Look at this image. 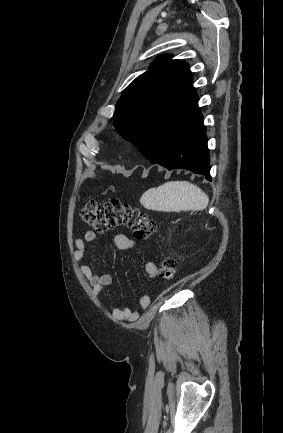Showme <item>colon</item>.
I'll return each instance as SVG.
<instances>
[{
  "mask_svg": "<svg viewBox=\"0 0 283 433\" xmlns=\"http://www.w3.org/2000/svg\"><path fill=\"white\" fill-rule=\"evenodd\" d=\"M79 217L83 223L100 233L125 225L138 240L149 238L157 227L156 222L139 208L117 199L106 202L88 200L80 207ZM177 267L176 259H163L159 266V278L171 280L177 272Z\"/></svg>",
  "mask_w": 283,
  "mask_h": 433,
  "instance_id": "5ec220e1",
  "label": "colon"
}]
</instances>
